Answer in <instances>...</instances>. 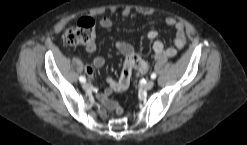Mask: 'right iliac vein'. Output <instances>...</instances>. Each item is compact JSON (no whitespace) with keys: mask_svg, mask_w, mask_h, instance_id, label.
Instances as JSON below:
<instances>
[{"mask_svg":"<svg viewBox=\"0 0 247 145\" xmlns=\"http://www.w3.org/2000/svg\"><path fill=\"white\" fill-rule=\"evenodd\" d=\"M82 87L84 90H89V89H91L92 86L90 83L85 82V83H83Z\"/></svg>","mask_w":247,"mask_h":145,"instance_id":"63e3f726","label":"right iliac vein"}]
</instances>
